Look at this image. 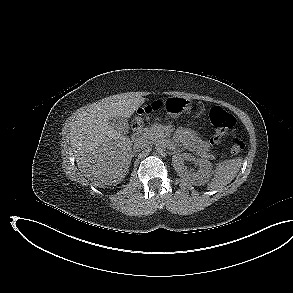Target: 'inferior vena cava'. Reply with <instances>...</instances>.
<instances>
[{
	"label": "inferior vena cava",
	"instance_id": "obj_1",
	"mask_svg": "<svg viewBox=\"0 0 293 293\" xmlns=\"http://www.w3.org/2000/svg\"><path fill=\"white\" fill-rule=\"evenodd\" d=\"M149 146V142L145 139L135 141L133 145V149L135 152L140 151L141 149H145Z\"/></svg>",
	"mask_w": 293,
	"mask_h": 293
}]
</instances>
